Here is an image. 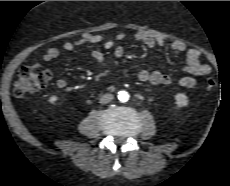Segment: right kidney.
<instances>
[{
  "label": "right kidney",
  "instance_id": "1",
  "mask_svg": "<svg viewBox=\"0 0 230 186\" xmlns=\"http://www.w3.org/2000/svg\"><path fill=\"white\" fill-rule=\"evenodd\" d=\"M57 100H58V97L55 96V95H53V96H51V97L49 98L48 101H49L51 104H54Z\"/></svg>",
  "mask_w": 230,
  "mask_h": 186
}]
</instances>
